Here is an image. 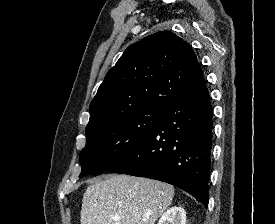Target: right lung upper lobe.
<instances>
[{"label":"right lung upper lobe","mask_w":275,"mask_h":224,"mask_svg":"<svg viewBox=\"0 0 275 224\" xmlns=\"http://www.w3.org/2000/svg\"><path fill=\"white\" fill-rule=\"evenodd\" d=\"M203 71L190 45L161 31L130 45L100 85L86 128L138 109H167L190 91Z\"/></svg>","instance_id":"obj_1"}]
</instances>
